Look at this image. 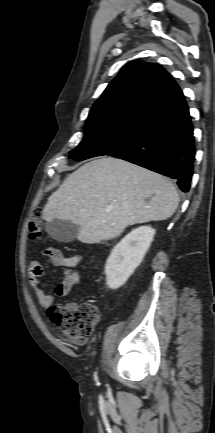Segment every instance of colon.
<instances>
[{"mask_svg":"<svg viewBox=\"0 0 215 433\" xmlns=\"http://www.w3.org/2000/svg\"><path fill=\"white\" fill-rule=\"evenodd\" d=\"M42 231V210L37 207L29 222V234L32 239H37L41 236ZM49 316L63 335L78 345H84L92 335L98 320V309L92 303H84L80 306L73 304L53 306L49 308Z\"/></svg>","mask_w":215,"mask_h":433,"instance_id":"5ec220e1","label":"colon"}]
</instances>
